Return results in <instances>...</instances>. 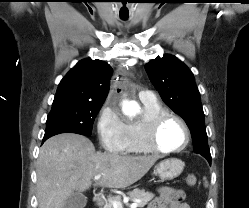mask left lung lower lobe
Returning a JSON list of instances; mask_svg holds the SVG:
<instances>
[{
    "label": "left lung lower lobe",
    "instance_id": "left-lung-lower-lobe-1",
    "mask_svg": "<svg viewBox=\"0 0 249 208\" xmlns=\"http://www.w3.org/2000/svg\"><path fill=\"white\" fill-rule=\"evenodd\" d=\"M208 160V162L211 164V159H207Z\"/></svg>",
    "mask_w": 249,
    "mask_h": 208
}]
</instances>
